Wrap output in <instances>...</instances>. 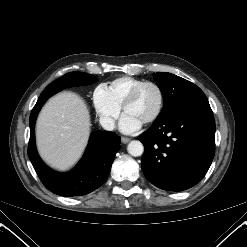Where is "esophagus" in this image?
Masks as SVG:
<instances>
[{
  "instance_id": "34e87169",
  "label": "esophagus",
  "mask_w": 247,
  "mask_h": 247,
  "mask_svg": "<svg viewBox=\"0 0 247 247\" xmlns=\"http://www.w3.org/2000/svg\"><path fill=\"white\" fill-rule=\"evenodd\" d=\"M121 141H122V143L126 144V143H128L130 141V138H128V137H122L121 138Z\"/></svg>"
}]
</instances>
